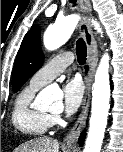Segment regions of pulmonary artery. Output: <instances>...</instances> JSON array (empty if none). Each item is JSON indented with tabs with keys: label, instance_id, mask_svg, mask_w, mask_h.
<instances>
[{
	"label": "pulmonary artery",
	"instance_id": "e3ab8cb5",
	"mask_svg": "<svg viewBox=\"0 0 123 152\" xmlns=\"http://www.w3.org/2000/svg\"><path fill=\"white\" fill-rule=\"evenodd\" d=\"M74 60L71 52L56 55L50 62L38 70L30 79V86L41 88L60 75Z\"/></svg>",
	"mask_w": 123,
	"mask_h": 152
}]
</instances>
